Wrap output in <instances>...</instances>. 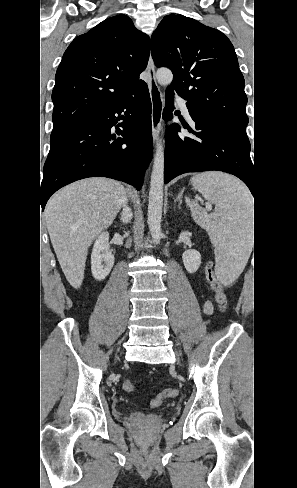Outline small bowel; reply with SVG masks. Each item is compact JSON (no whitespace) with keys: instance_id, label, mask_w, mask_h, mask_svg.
<instances>
[{"instance_id":"obj_1","label":"small bowel","mask_w":297,"mask_h":488,"mask_svg":"<svg viewBox=\"0 0 297 488\" xmlns=\"http://www.w3.org/2000/svg\"><path fill=\"white\" fill-rule=\"evenodd\" d=\"M204 312L206 314H211L213 312V304L210 300H207L205 303H204Z\"/></svg>"}]
</instances>
